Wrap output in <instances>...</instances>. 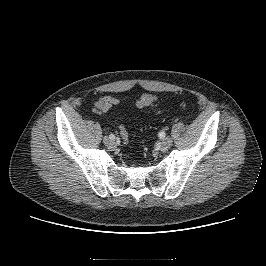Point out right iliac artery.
Returning a JSON list of instances; mask_svg holds the SVG:
<instances>
[{
  "label": "right iliac artery",
  "mask_w": 266,
  "mask_h": 266,
  "mask_svg": "<svg viewBox=\"0 0 266 266\" xmlns=\"http://www.w3.org/2000/svg\"><path fill=\"white\" fill-rule=\"evenodd\" d=\"M109 138L113 140L115 138V136L113 134H110Z\"/></svg>",
  "instance_id": "82829eb1"
}]
</instances>
